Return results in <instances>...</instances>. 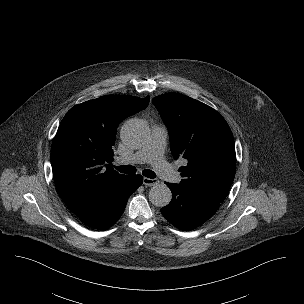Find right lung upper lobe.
I'll list each match as a JSON object with an SVG mask.
<instances>
[{"label": "right lung upper lobe", "mask_w": 304, "mask_h": 304, "mask_svg": "<svg viewBox=\"0 0 304 304\" xmlns=\"http://www.w3.org/2000/svg\"><path fill=\"white\" fill-rule=\"evenodd\" d=\"M149 96H105L71 108L60 123L51 147L57 190L77 216L85 213L115 179L111 167L120 122L145 109Z\"/></svg>", "instance_id": "1"}]
</instances>
